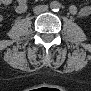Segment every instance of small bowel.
Masks as SVG:
<instances>
[{
	"label": "small bowel",
	"mask_w": 91,
	"mask_h": 91,
	"mask_svg": "<svg viewBox=\"0 0 91 91\" xmlns=\"http://www.w3.org/2000/svg\"><path fill=\"white\" fill-rule=\"evenodd\" d=\"M3 3L6 4V5H8V4L11 3V1L5 0V1H3ZM14 9H15V11L18 12V13H23V12H25L26 9H27V3H26V1H25V0H19V1H17V2L14 4ZM71 11H72L73 13H77V9H76L75 7L72 8Z\"/></svg>",
	"instance_id": "obj_1"
}]
</instances>
